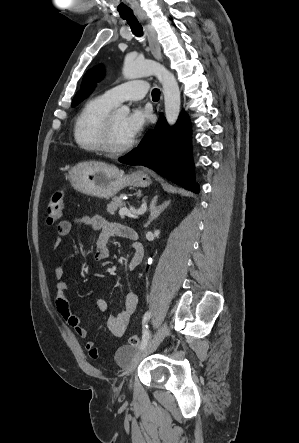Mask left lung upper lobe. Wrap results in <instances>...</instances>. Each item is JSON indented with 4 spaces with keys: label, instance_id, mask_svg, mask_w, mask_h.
I'll list each match as a JSON object with an SVG mask.
<instances>
[{
    "label": "left lung upper lobe",
    "instance_id": "left-lung-upper-lobe-1",
    "mask_svg": "<svg viewBox=\"0 0 299 443\" xmlns=\"http://www.w3.org/2000/svg\"><path fill=\"white\" fill-rule=\"evenodd\" d=\"M103 71L100 67H96L94 70L88 71L81 85V90L75 95L72 106L79 104L84 98H86L94 89L96 81L101 79Z\"/></svg>",
    "mask_w": 299,
    "mask_h": 443
}]
</instances>
